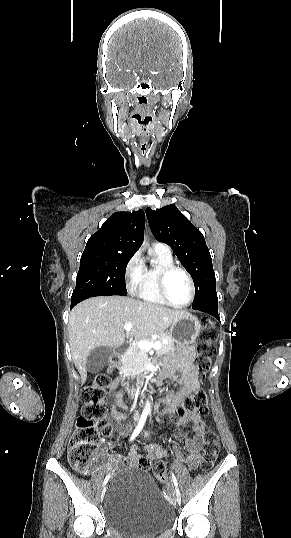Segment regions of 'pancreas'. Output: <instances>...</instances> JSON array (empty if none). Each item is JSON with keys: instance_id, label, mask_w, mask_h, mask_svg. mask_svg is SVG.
Returning a JSON list of instances; mask_svg holds the SVG:
<instances>
[{"instance_id": "pancreas-1", "label": "pancreas", "mask_w": 291, "mask_h": 538, "mask_svg": "<svg viewBox=\"0 0 291 538\" xmlns=\"http://www.w3.org/2000/svg\"><path fill=\"white\" fill-rule=\"evenodd\" d=\"M164 338L168 340L167 344L162 342V339ZM157 341L161 343V348L156 351L157 355L167 353L174 346V341L167 333L159 334V339ZM122 363L128 365L130 370L134 373H139L144 370L145 365L148 363V357L146 351L139 348L137 340L130 345L128 351L123 355Z\"/></svg>"}]
</instances>
